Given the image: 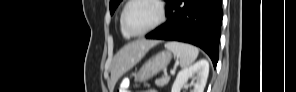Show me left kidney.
I'll return each mask as SVG.
<instances>
[{"label":"left kidney","mask_w":296,"mask_h":92,"mask_svg":"<svg viewBox=\"0 0 296 92\" xmlns=\"http://www.w3.org/2000/svg\"><path fill=\"white\" fill-rule=\"evenodd\" d=\"M209 74V63L207 60L202 59L195 64L182 69L172 86L171 92H180L183 86H185L188 80L195 76L196 82L194 83V88L191 92H203L207 78Z\"/></svg>","instance_id":"obj_1"}]
</instances>
